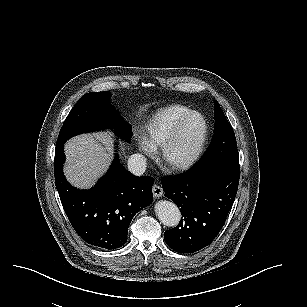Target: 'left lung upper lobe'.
I'll list each match as a JSON object with an SVG mask.
<instances>
[{
	"label": "left lung upper lobe",
	"instance_id": "1",
	"mask_svg": "<svg viewBox=\"0 0 307 307\" xmlns=\"http://www.w3.org/2000/svg\"><path fill=\"white\" fill-rule=\"evenodd\" d=\"M215 124L211 144L196 165L219 163L239 166V154L234 131L215 101Z\"/></svg>",
	"mask_w": 307,
	"mask_h": 307
}]
</instances>
